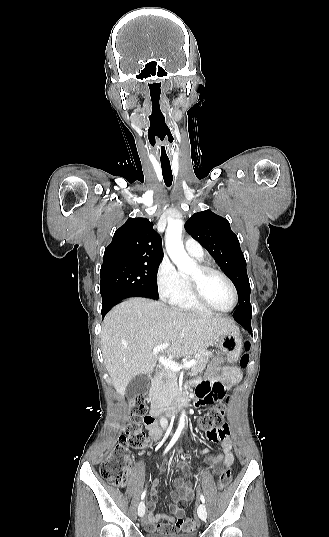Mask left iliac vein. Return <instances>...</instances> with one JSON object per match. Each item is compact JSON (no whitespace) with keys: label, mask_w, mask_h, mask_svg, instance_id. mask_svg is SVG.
Returning a JSON list of instances; mask_svg holds the SVG:
<instances>
[{"label":"left iliac vein","mask_w":329,"mask_h":537,"mask_svg":"<svg viewBox=\"0 0 329 537\" xmlns=\"http://www.w3.org/2000/svg\"><path fill=\"white\" fill-rule=\"evenodd\" d=\"M197 513H198L199 518H200L202 521H205V520H206V518H207V510H206V507H205L204 504H200V505L198 506Z\"/></svg>","instance_id":"4c4485c4"}]
</instances>
